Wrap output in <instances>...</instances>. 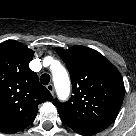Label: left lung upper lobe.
<instances>
[{
  "mask_svg": "<svg viewBox=\"0 0 136 136\" xmlns=\"http://www.w3.org/2000/svg\"><path fill=\"white\" fill-rule=\"evenodd\" d=\"M66 64L73 94L66 103L53 100L69 127H108L121 108L125 88L117 68L98 51L84 46L55 48Z\"/></svg>",
  "mask_w": 136,
  "mask_h": 136,
  "instance_id": "5c2ea615",
  "label": "left lung upper lobe"
}]
</instances>
